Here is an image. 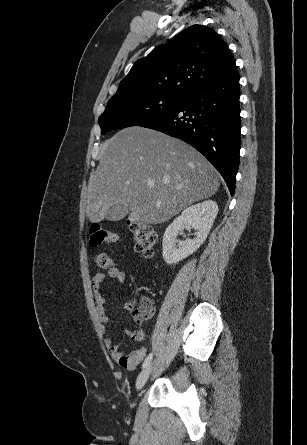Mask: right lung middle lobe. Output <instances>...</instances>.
Segmentation results:
<instances>
[{
    "label": "right lung middle lobe",
    "mask_w": 307,
    "mask_h": 445,
    "mask_svg": "<svg viewBox=\"0 0 307 445\" xmlns=\"http://www.w3.org/2000/svg\"><path fill=\"white\" fill-rule=\"evenodd\" d=\"M184 96L144 94L113 96L98 119L101 133L141 125L171 111Z\"/></svg>",
    "instance_id": "right-lung-middle-lobe-1"
}]
</instances>
